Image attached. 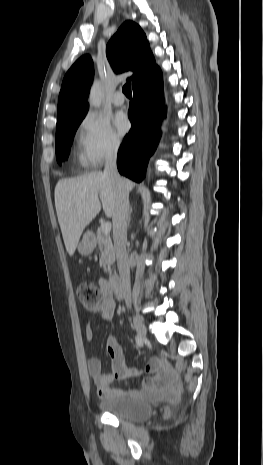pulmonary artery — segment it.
<instances>
[{
    "mask_svg": "<svg viewBox=\"0 0 263 465\" xmlns=\"http://www.w3.org/2000/svg\"><path fill=\"white\" fill-rule=\"evenodd\" d=\"M112 103L115 105V106H122L124 103H125V98L122 94V92L120 91H117L113 97H112Z\"/></svg>",
    "mask_w": 263,
    "mask_h": 465,
    "instance_id": "e3ab8cb5",
    "label": "pulmonary artery"
}]
</instances>
